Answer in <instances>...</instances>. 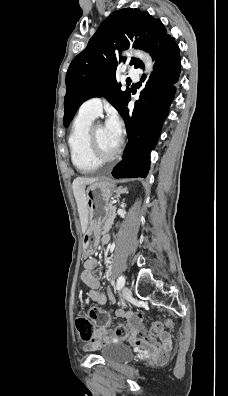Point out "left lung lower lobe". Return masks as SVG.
I'll return each instance as SVG.
<instances>
[{
    "mask_svg": "<svg viewBox=\"0 0 228 396\" xmlns=\"http://www.w3.org/2000/svg\"><path fill=\"white\" fill-rule=\"evenodd\" d=\"M147 52L152 56L154 71L135 102L132 111L127 105L120 114L125 121L128 145L124 157L113 169L115 178H145L150 167V151L160 135L162 124L174 99L175 86L180 75L179 47L167 32L156 37ZM144 69V66L141 67ZM145 77L141 78L144 81Z\"/></svg>",
    "mask_w": 228,
    "mask_h": 396,
    "instance_id": "1",
    "label": "left lung lower lobe"
}]
</instances>
